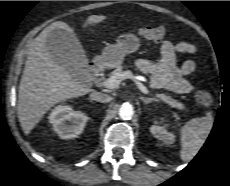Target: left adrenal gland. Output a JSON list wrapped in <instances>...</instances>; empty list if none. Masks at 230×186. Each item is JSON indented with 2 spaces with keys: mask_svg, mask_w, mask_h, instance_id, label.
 Instances as JSON below:
<instances>
[{
  "mask_svg": "<svg viewBox=\"0 0 230 186\" xmlns=\"http://www.w3.org/2000/svg\"><path fill=\"white\" fill-rule=\"evenodd\" d=\"M141 100L143 101V103L146 105V104H149L153 101H156V99L154 98H146V97H141Z\"/></svg>",
  "mask_w": 230,
  "mask_h": 186,
  "instance_id": "1",
  "label": "left adrenal gland"
}]
</instances>
